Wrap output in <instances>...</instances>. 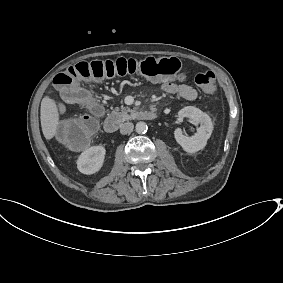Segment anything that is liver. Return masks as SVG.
<instances>
[{"instance_id": "6515ba94", "label": "liver", "mask_w": 283, "mask_h": 283, "mask_svg": "<svg viewBox=\"0 0 283 283\" xmlns=\"http://www.w3.org/2000/svg\"><path fill=\"white\" fill-rule=\"evenodd\" d=\"M40 120L44 137L52 139L57 132L59 114L55 101L48 96L41 101Z\"/></svg>"}]
</instances>
